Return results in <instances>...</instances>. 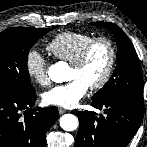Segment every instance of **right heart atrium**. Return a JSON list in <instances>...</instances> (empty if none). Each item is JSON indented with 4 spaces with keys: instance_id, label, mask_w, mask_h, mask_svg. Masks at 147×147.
I'll list each match as a JSON object with an SVG mask.
<instances>
[{
    "instance_id": "right-heart-atrium-1",
    "label": "right heart atrium",
    "mask_w": 147,
    "mask_h": 147,
    "mask_svg": "<svg viewBox=\"0 0 147 147\" xmlns=\"http://www.w3.org/2000/svg\"><path fill=\"white\" fill-rule=\"evenodd\" d=\"M25 70L29 78L38 85L49 83L47 62L44 56L36 49H30L25 56Z\"/></svg>"
}]
</instances>
